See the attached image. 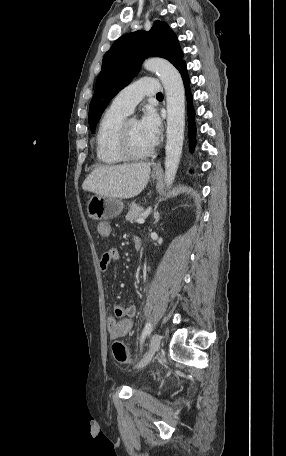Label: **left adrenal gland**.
<instances>
[{
  "instance_id": "1",
  "label": "left adrenal gland",
  "mask_w": 286,
  "mask_h": 456,
  "mask_svg": "<svg viewBox=\"0 0 286 456\" xmlns=\"http://www.w3.org/2000/svg\"><path fill=\"white\" fill-rule=\"evenodd\" d=\"M160 219V214L158 213L157 209H154V224H156Z\"/></svg>"
}]
</instances>
